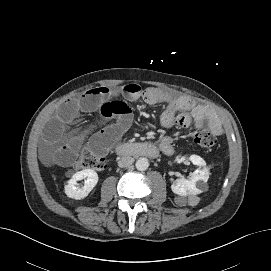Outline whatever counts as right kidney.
Returning a JSON list of instances; mask_svg holds the SVG:
<instances>
[{
    "instance_id": "1",
    "label": "right kidney",
    "mask_w": 271,
    "mask_h": 271,
    "mask_svg": "<svg viewBox=\"0 0 271 271\" xmlns=\"http://www.w3.org/2000/svg\"><path fill=\"white\" fill-rule=\"evenodd\" d=\"M85 180L84 186L79 187L77 181ZM98 174L92 169L76 172L65 185V194L72 199L81 200L88 196L98 183Z\"/></svg>"
}]
</instances>
